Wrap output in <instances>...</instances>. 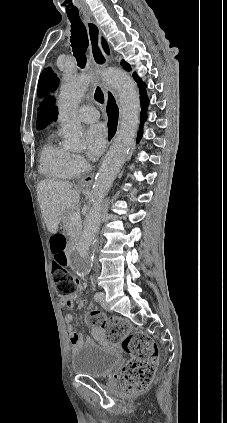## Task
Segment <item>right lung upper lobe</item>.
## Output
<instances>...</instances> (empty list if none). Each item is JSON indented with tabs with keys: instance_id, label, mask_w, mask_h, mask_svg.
<instances>
[{
	"instance_id": "obj_1",
	"label": "right lung upper lobe",
	"mask_w": 227,
	"mask_h": 423,
	"mask_svg": "<svg viewBox=\"0 0 227 423\" xmlns=\"http://www.w3.org/2000/svg\"><path fill=\"white\" fill-rule=\"evenodd\" d=\"M102 45L105 52L109 54V48L104 39H102ZM58 82H59V79L55 77V75L53 74V71L50 68L43 70L39 79V84H38L39 96H42L44 93L48 91H51V92L55 91V89L57 88Z\"/></svg>"
}]
</instances>
